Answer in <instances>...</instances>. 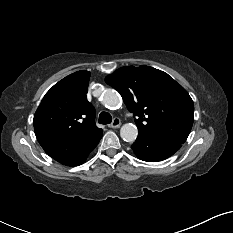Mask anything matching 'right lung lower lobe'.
<instances>
[{
	"mask_svg": "<svg viewBox=\"0 0 233 233\" xmlns=\"http://www.w3.org/2000/svg\"><path fill=\"white\" fill-rule=\"evenodd\" d=\"M102 131L80 142H46L40 145L45 152L61 164L77 166L82 164L90 152L97 146Z\"/></svg>",
	"mask_w": 233,
	"mask_h": 233,
	"instance_id": "1",
	"label": "right lung lower lobe"
}]
</instances>
